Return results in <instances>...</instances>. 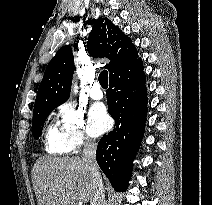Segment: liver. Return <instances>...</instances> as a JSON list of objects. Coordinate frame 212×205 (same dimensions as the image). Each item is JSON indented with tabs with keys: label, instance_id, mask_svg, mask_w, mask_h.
Returning <instances> with one entry per match:
<instances>
[{
	"label": "liver",
	"instance_id": "6515ba94",
	"mask_svg": "<svg viewBox=\"0 0 212 205\" xmlns=\"http://www.w3.org/2000/svg\"><path fill=\"white\" fill-rule=\"evenodd\" d=\"M32 173L38 205H78L93 198L92 171L79 157L43 156Z\"/></svg>",
	"mask_w": 212,
	"mask_h": 205
}]
</instances>
